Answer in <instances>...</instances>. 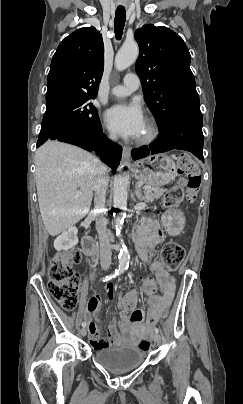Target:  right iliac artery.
<instances>
[{"instance_id":"1","label":"right iliac artery","mask_w":243,"mask_h":404,"mask_svg":"<svg viewBox=\"0 0 243 404\" xmlns=\"http://www.w3.org/2000/svg\"><path fill=\"white\" fill-rule=\"evenodd\" d=\"M117 275H118V271H116L115 273L110 274V275L104 277V278L102 279V281H103V282L109 281V280L115 278ZM85 326H86L85 322H82V327H85Z\"/></svg>"}]
</instances>
